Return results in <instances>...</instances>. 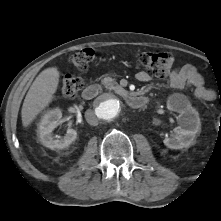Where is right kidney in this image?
I'll use <instances>...</instances> for the list:
<instances>
[{
	"mask_svg": "<svg viewBox=\"0 0 221 221\" xmlns=\"http://www.w3.org/2000/svg\"><path fill=\"white\" fill-rule=\"evenodd\" d=\"M62 117L61 110L56 108L47 112L38 125V135L43 146L50 149H63L68 147L77 138V132L68 128L64 137L55 139L53 130L58 126Z\"/></svg>",
	"mask_w": 221,
	"mask_h": 221,
	"instance_id": "ca27d5eb",
	"label": "right kidney"
}]
</instances>
